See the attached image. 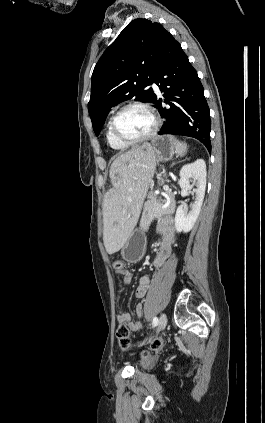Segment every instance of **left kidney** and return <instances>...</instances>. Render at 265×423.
Wrapping results in <instances>:
<instances>
[{"instance_id":"5707ae66","label":"left kidney","mask_w":265,"mask_h":423,"mask_svg":"<svg viewBox=\"0 0 265 423\" xmlns=\"http://www.w3.org/2000/svg\"><path fill=\"white\" fill-rule=\"evenodd\" d=\"M179 185L181 188V196L185 197L188 195V191L193 188L195 193V201L191 204L190 210L186 209L185 204L182 203L178 206L175 214V228L177 232H189L201 210V206L204 200L205 189H206V164L203 159H197L191 164L184 165L180 170ZM193 179V184H190Z\"/></svg>"}]
</instances>
